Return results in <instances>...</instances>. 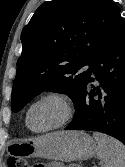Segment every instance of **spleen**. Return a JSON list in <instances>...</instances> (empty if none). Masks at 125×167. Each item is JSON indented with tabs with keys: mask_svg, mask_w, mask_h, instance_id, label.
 I'll use <instances>...</instances> for the list:
<instances>
[{
	"mask_svg": "<svg viewBox=\"0 0 125 167\" xmlns=\"http://www.w3.org/2000/svg\"><path fill=\"white\" fill-rule=\"evenodd\" d=\"M97 142V157L101 167H125V145L108 135L94 132Z\"/></svg>",
	"mask_w": 125,
	"mask_h": 167,
	"instance_id": "3e777b00",
	"label": "spleen"
}]
</instances>
